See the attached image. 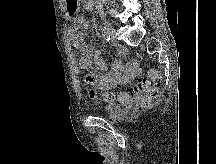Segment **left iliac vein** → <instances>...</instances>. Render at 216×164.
Returning <instances> with one entry per match:
<instances>
[{"mask_svg":"<svg viewBox=\"0 0 216 164\" xmlns=\"http://www.w3.org/2000/svg\"><path fill=\"white\" fill-rule=\"evenodd\" d=\"M108 32L111 37V42L115 43L116 42L115 29L113 27H109Z\"/></svg>","mask_w":216,"mask_h":164,"instance_id":"4c4485c4","label":"left iliac vein"}]
</instances>
